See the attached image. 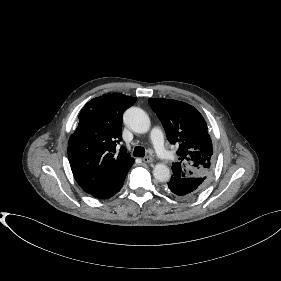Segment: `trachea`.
I'll list each match as a JSON object with an SVG mask.
<instances>
[{
    "mask_svg": "<svg viewBox=\"0 0 281 281\" xmlns=\"http://www.w3.org/2000/svg\"><path fill=\"white\" fill-rule=\"evenodd\" d=\"M133 155L135 157H144L145 156V149L143 147H141V146H136L134 148Z\"/></svg>",
    "mask_w": 281,
    "mask_h": 281,
    "instance_id": "trachea-1",
    "label": "trachea"
}]
</instances>
